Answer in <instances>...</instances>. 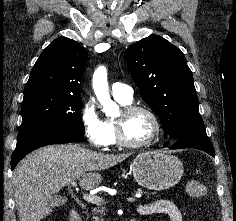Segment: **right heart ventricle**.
Segmentation results:
<instances>
[{"label": "right heart ventricle", "mask_w": 236, "mask_h": 221, "mask_svg": "<svg viewBox=\"0 0 236 221\" xmlns=\"http://www.w3.org/2000/svg\"><path fill=\"white\" fill-rule=\"evenodd\" d=\"M116 100L123 106H126V105L130 104V102H125V101H121V100H118V99H116ZM105 125H106V128L108 130V134H109V144H116L118 141H117V135H116L114 120H111V119L105 120Z\"/></svg>", "instance_id": "1"}]
</instances>
